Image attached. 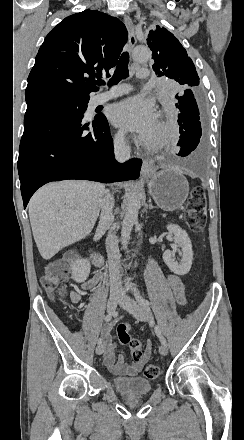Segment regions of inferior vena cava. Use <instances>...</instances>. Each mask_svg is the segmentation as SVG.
I'll list each match as a JSON object with an SVG mask.
<instances>
[{
    "label": "inferior vena cava",
    "mask_w": 244,
    "mask_h": 440,
    "mask_svg": "<svg viewBox=\"0 0 244 440\" xmlns=\"http://www.w3.org/2000/svg\"><path fill=\"white\" fill-rule=\"evenodd\" d=\"M114 154L118 162H126L130 158V146L126 144L125 134H118L114 140ZM114 206L113 198L106 194L103 198L101 216L98 224V230H110L114 216L112 208ZM106 250L108 254L109 274H110V292L111 294H122V282L120 276V252L118 240L114 234H109L106 238Z\"/></svg>",
    "instance_id": "1"
}]
</instances>
